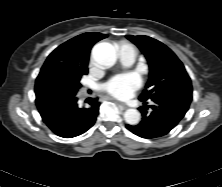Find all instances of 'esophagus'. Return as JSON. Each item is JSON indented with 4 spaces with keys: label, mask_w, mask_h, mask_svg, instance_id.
Segmentation results:
<instances>
[{
    "label": "esophagus",
    "mask_w": 222,
    "mask_h": 187,
    "mask_svg": "<svg viewBox=\"0 0 222 187\" xmlns=\"http://www.w3.org/2000/svg\"><path fill=\"white\" fill-rule=\"evenodd\" d=\"M119 105L123 108V109H127V108H129V106L127 105V104H125V103H119Z\"/></svg>",
    "instance_id": "1"
}]
</instances>
